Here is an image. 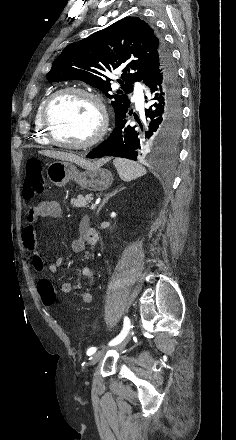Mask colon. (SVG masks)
<instances>
[{"label": "colon", "mask_w": 236, "mask_h": 440, "mask_svg": "<svg viewBox=\"0 0 236 440\" xmlns=\"http://www.w3.org/2000/svg\"><path fill=\"white\" fill-rule=\"evenodd\" d=\"M45 188L43 167L39 160L32 159L26 165L23 194L27 199L41 195ZM38 291L43 304L47 308H54L57 302L56 292L53 284L48 280L38 282Z\"/></svg>", "instance_id": "colon-1"}]
</instances>
